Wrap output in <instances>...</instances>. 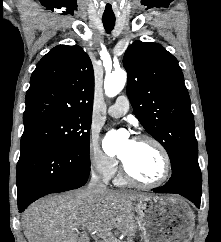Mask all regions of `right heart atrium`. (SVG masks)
<instances>
[{
    "label": "right heart atrium",
    "mask_w": 221,
    "mask_h": 242,
    "mask_svg": "<svg viewBox=\"0 0 221 242\" xmlns=\"http://www.w3.org/2000/svg\"><path fill=\"white\" fill-rule=\"evenodd\" d=\"M87 157L91 169L102 178L108 180L115 175L119 163L118 159L102 149L95 133H92L89 137Z\"/></svg>",
    "instance_id": "d8ad5b80"
}]
</instances>
